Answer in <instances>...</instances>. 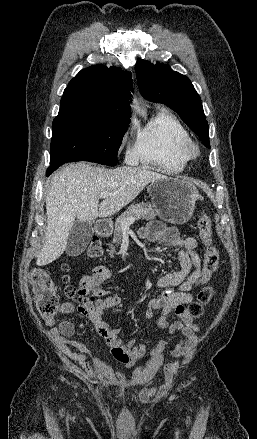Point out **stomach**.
I'll return each instance as SVG.
<instances>
[{
    "instance_id": "obj_1",
    "label": "stomach",
    "mask_w": 257,
    "mask_h": 439,
    "mask_svg": "<svg viewBox=\"0 0 257 439\" xmlns=\"http://www.w3.org/2000/svg\"><path fill=\"white\" fill-rule=\"evenodd\" d=\"M148 192L159 217L180 224L192 217L199 198L196 186L180 178L165 177L154 181L149 185Z\"/></svg>"
}]
</instances>
